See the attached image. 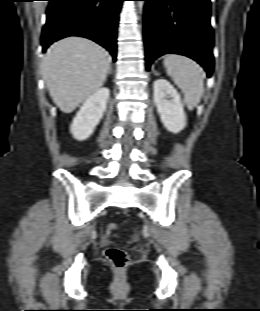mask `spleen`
Listing matches in <instances>:
<instances>
[{"label":"spleen","instance_id":"obj_1","mask_svg":"<svg viewBox=\"0 0 260 311\" xmlns=\"http://www.w3.org/2000/svg\"><path fill=\"white\" fill-rule=\"evenodd\" d=\"M167 69L174 83L184 94V103L189 110H193L203 95V70L194 60L176 54H169L164 59Z\"/></svg>","mask_w":260,"mask_h":311}]
</instances>
